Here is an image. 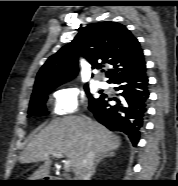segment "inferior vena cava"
I'll return each instance as SVG.
<instances>
[{
  "instance_id": "inferior-vena-cava-1",
  "label": "inferior vena cava",
  "mask_w": 178,
  "mask_h": 186,
  "mask_svg": "<svg viewBox=\"0 0 178 186\" xmlns=\"http://www.w3.org/2000/svg\"><path fill=\"white\" fill-rule=\"evenodd\" d=\"M95 157V150L91 146H89L81 161L78 171L75 173V180H90L94 167L93 165Z\"/></svg>"
}]
</instances>
